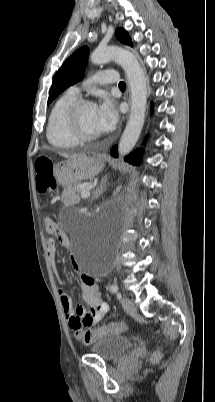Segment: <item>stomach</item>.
I'll use <instances>...</instances> for the list:
<instances>
[{
	"label": "stomach",
	"mask_w": 215,
	"mask_h": 402,
	"mask_svg": "<svg viewBox=\"0 0 215 402\" xmlns=\"http://www.w3.org/2000/svg\"><path fill=\"white\" fill-rule=\"evenodd\" d=\"M103 160L80 155L54 165L56 180L63 186H71L91 179L103 169Z\"/></svg>",
	"instance_id": "obj_1"
}]
</instances>
